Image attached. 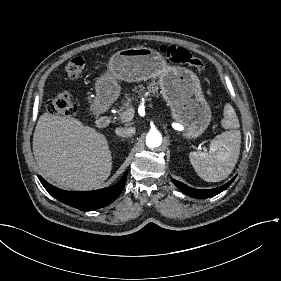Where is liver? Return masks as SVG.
Segmentation results:
<instances>
[{
    "label": "liver",
    "instance_id": "liver-1",
    "mask_svg": "<svg viewBox=\"0 0 281 281\" xmlns=\"http://www.w3.org/2000/svg\"><path fill=\"white\" fill-rule=\"evenodd\" d=\"M33 153L44 177L62 188L91 190L110 175L105 137L71 117L42 114L33 135Z\"/></svg>",
    "mask_w": 281,
    "mask_h": 281
}]
</instances>
